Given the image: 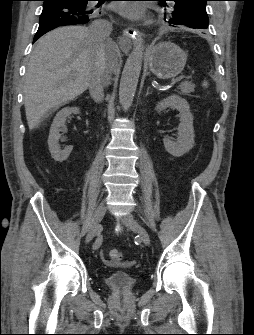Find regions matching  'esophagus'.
Wrapping results in <instances>:
<instances>
[{
  "instance_id": "34e87169",
  "label": "esophagus",
  "mask_w": 254,
  "mask_h": 335,
  "mask_svg": "<svg viewBox=\"0 0 254 335\" xmlns=\"http://www.w3.org/2000/svg\"><path fill=\"white\" fill-rule=\"evenodd\" d=\"M140 36V32L131 27L128 26L123 30V34L119 39V46L122 50H129L132 45V41L137 39Z\"/></svg>"
}]
</instances>
